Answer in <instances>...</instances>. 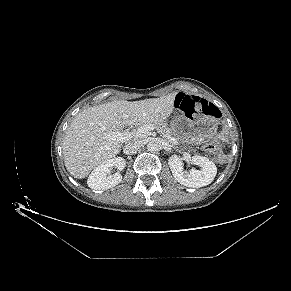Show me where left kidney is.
I'll return each mask as SVG.
<instances>
[{"mask_svg":"<svg viewBox=\"0 0 291 291\" xmlns=\"http://www.w3.org/2000/svg\"><path fill=\"white\" fill-rule=\"evenodd\" d=\"M191 163L198 165L199 170L190 169L184 170V163L177 155H172L168 164L174 178L182 185L192 188H199L210 184L216 174L217 168L215 164L204 156L194 155L191 158Z\"/></svg>","mask_w":291,"mask_h":291,"instance_id":"1","label":"left kidney"}]
</instances>
